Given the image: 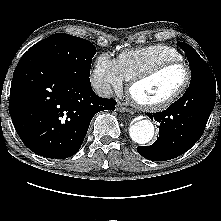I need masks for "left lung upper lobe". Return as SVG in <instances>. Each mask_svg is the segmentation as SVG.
<instances>
[{"mask_svg": "<svg viewBox=\"0 0 221 221\" xmlns=\"http://www.w3.org/2000/svg\"><path fill=\"white\" fill-rule=\"evenodd\" d=\"M181 49L185 51L191 69V82L189 86L197 85L205 80L214 78L208 64L198 55V53L189 45L178 42Z\"/></svg>", "mask_w": 221, "mask_h": 221, "instance_id": "1", "label": "left lung upper lobe"}]
</instances>
